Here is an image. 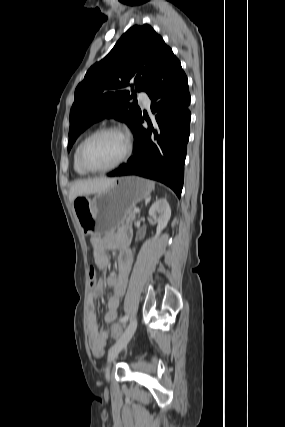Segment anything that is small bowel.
Returning <instances> with one entry per match:
<instances>
[{"instance_id":"obj_1","label":"small bowel","mask_w":285,"mask_h":427,"mask_svg":"<svg viewBox=\"0 0 285 427\" xmlns=\"http://www.w3.org/2000/svg\"><path fill=\"white\" fill-rule=\"evenodd\" d=\"M130 237L129 230H122L118 234L104 237L95 235L91 238L93 256L97 266L100 268L108 267V252L110 250H119L118 275L108 276L105 283L102 279H99L88 294V310L90 314L89 344L92 354L96 357H100L103 354L108 332L101 330L99 327L95 313V301L102 294L106 284L112 290V294L107 301L104 322L107 324L113 323L118 316L120 299L125 292L128 275L133 263V254L128 248Z\"/></svg>"}]
</instances>
